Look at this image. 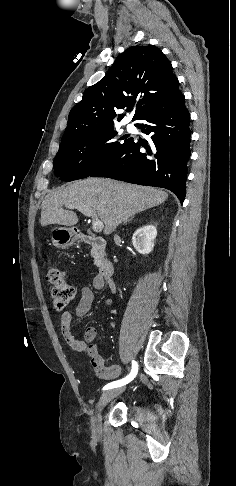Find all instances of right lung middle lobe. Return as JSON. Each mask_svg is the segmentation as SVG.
I'll return each mask as SVG.
<instances>
[{"instance_id": "obj_1", "label": "right lung middle lobe", "mask_w": 236, "mask_h": 486, "mask_svg": "<svg viewBox=\"0 0 236 486\" xmlns=\"http://www.w3.org/2000/svg\"><path fill=\"white\" fill-rule=\"evenodd\" d=\"M116 134L112 126L60 144L54 159L55 174L64 181L88 177L132 141L126 137L120 138L126 139L124 143L113 141Z\"/></svg>"}]
</instances>
